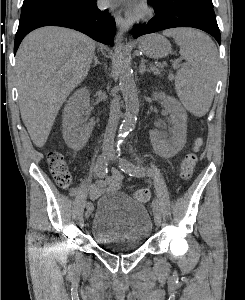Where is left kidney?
<instances>
[{
	"label": "left kidney",
	"instance_id": "obj_1",
	"mask_svg": "<svg viewBox=\"0 0 245 300\" xmlns=\"http://www.w3.org/2000/svg\"><path fill=\"white\" fill-rule=\"evenodd\" d=\"M153 99L163 101L165 110L170 114V122L173 125L168 130V133L164 131L153 133L155 147L163 155L173 156L182 149L186 141V112L175 98L167 96L164 93H154Z\"/></svg>",
	"mask_w": 245,
	"mask_h": 300
}]
</instances>
